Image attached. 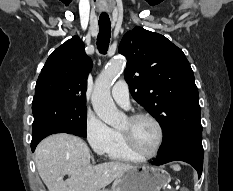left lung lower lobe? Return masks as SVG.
<instances>
[{
  "label": "left lung lower lobe",
  "mask_w": 233,
  "mask_h": 191,
  "mask_svg": "<svg viewBox=\"0 0 233 191\" xmlns=\"http://www.w3.org/2000/svg\"><path fill=\"white\" fill-rule=\"evenodd\" d=\"M202 132H190L178 137L164 151L160 152L154 165H162L171 161L180 160L191 164L200 178L203 169Z\"/></svg>",
  "instance_id": "1"
}]
</instances>
